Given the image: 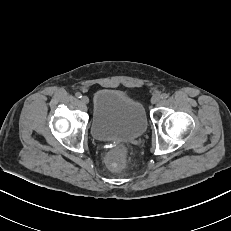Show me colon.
Wrapping results in <instances>:
<instances>
[{
	"label": "colon",
	"instance_id": "colon-1",
	"mask_svg": "<svg viewBox=\"0 0 231 231\" xmlns=\"http://www.w3.org/2000/svg\"><path fill=\"white\" fill-rule=\"evenodd\" d=\"M127 154L128 146L126 144H118L107 154L106 163L111 169L120 170L126 164Z\"/></svg>",
	"mask_w": 231,
	"mask_h": 231
}]
</instances>
